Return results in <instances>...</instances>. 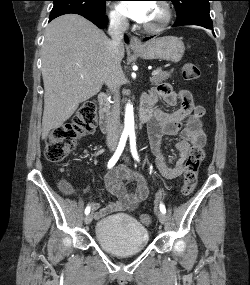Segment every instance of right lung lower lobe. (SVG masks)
Wrapping results in <instances>:
<instances>
[{
  "instance_id": "obj_1",
  "label": "right lung lower lobe",
  "mask_w": 250,
  "mask_h": 285,
  "mask_svg": "<svg viewBox=\"0 0 250 285\" xmlns=\"http://www.w3.org/2000/svg\"><path fill=\"white\" fill-rule=\"evenodd\" d=\"M72 13L79 14L85 17L86 19L90 20L91 22H93L95 25H97L101 29L105 28L108 23V18L105 15V13L104 14L90 13V12H72ZM52 19L54 18H50L49 21H51ZM125 41L128 42L127 36H125Z\"/></svg>"
}]
</instances>
